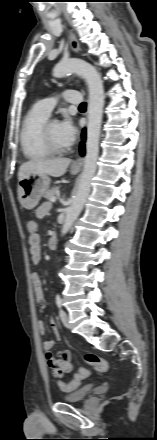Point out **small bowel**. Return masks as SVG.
<instances>
[{
	"instance_id": "c3829d8e",
	"label": "small bowel",
	"mask_w": 157,
	"mask_h": 440,
	"mask_svg": "<svg viewBox=\"0 0 157 440\" xmlns=\"http://www.w3.org/2000/svg\"><path fill=\"white\" fill-rule=\"evenodd\" d=\"M51 204L44 203L36 211L38 218H43L50 210ZM29 251L31 260L35 265H38L41 261V239L39 234L29 235ZM31 282L34 292V300L40 310H43L46 306L44 293L42 289V282L37 272H33L31 275ZM50 324L52 327L54 338L47 340L43 343V349L45 352L47 365L52 369V375L56 379H62L73 370V364L71 362L72 354L69 350H62L59 352L58 357L52 355V348L61 340V332L58 325L53 318H50ZM38 332L41 336L45 335L46 327L42 320L37 323Z\"/></svg>"
}]
</instances>
